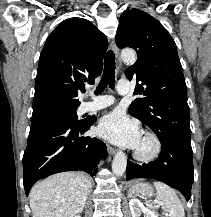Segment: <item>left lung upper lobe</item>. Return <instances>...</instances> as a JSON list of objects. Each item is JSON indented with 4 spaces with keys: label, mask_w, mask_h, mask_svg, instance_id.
Returning a JSON list of instances; mask_svg holds the SVG:
<instances>
[{
    "label": "left lung upper lobe",
    "mask_w": 211,
    "mask_h": 217,
    "mask_svg": "<svg viewBox=\"0 0 211 217\" xmlns=\"http://www.w3.org/2000/svg\"><path fill=\"white\" fill-rule=\"evenodd\" d=\"M119 48L131 47L137 61L126 77L136 78L128 112L149 126L158 137L173 134L191 139L187 88L176 44L159 21L139 9L126 10L116 33ZM140 82V83H139Z\"/></svg>",
    "instance_id": "obj_1"
}]
</instances>
